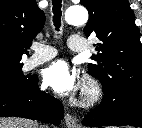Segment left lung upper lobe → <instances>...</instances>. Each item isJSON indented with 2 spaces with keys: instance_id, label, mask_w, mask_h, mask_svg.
<instances>
[{
  "instance_id": "1",
  "label": "left lung upper lobe",
  "mask_w": 142,
  "mask_h": 128,
  "mask_svg": "<svg viewBox=\"0 0 142 128\" xmlns=\"http://www.w3.org/2000/svg\"><path fill=\"white\" fill-rule=\"evenodd\" d=\"M89 12L84 28L96 35V64L88 73L103 86L104 95L142 92V44L128 0H80Z\"/></svg>"
}]
</instances>
